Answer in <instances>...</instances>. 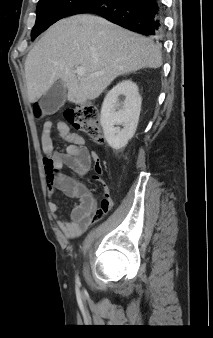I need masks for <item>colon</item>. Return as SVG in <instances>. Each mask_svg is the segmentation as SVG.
<instances>
[{"label":"colon","instance_id":"colon-1","mask_svg":"<svg viewBox=\"0 0 213 338\" xmlns=\"http://www.w3.org/2000/svg\"><path fill=\"white\" fill-rule=\"evenodd\" d=\"M37 117L39 119L43 118L40 112L37 113ZM65 117L70 124L84 132L90 140L94 142L104 141L102 125L96 107L87 104L76 105L67 109ZM47 173L51 180L59 175V169L54 165V162L49 164ZM94 178L96 179L97 177ZM110 208V202L107 199L102 200L100 207L96 211L97 220L107 215Z\"/></svg>","mask_w":213,"mask_h":338}]
</instances>
